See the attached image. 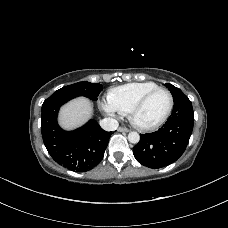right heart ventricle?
<instances>
[{
    "label": "right heart ventricle",
    "instance_id": "obj_1",
    "mask_svg": "<svg viewBox=\"0 0 228 228\" xmlns=\"http://www.w3.org/2000/svg\"><path fill=\"white\" fill-rule=\"evenodd\" d=\"M157 87L159 85L151 81L128 83L112 89L107 98L119 113L126 114L142 96Z\"/></svg>",
    "mask_w": 228,
    "mask_h": 228
}]
</instances>
